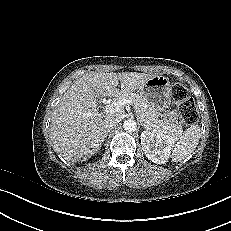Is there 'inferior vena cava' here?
I'll return each instance as SVG.
<instances>
[{
    "label": "inferior vena cava",
    "mask_w": 231,
    "mask_h": 231,
    "mask_svg": "<svg viewBox=\"0 0 231 231\" xmlns=\"http://www.w3.org/2000/svg\"><path fill=\"white\" fill-rule=\"evenodd\" d=\"M120 119L118 117H108L105 120L104 126L107 129V131L113 129L114 127L117 126V124L119 123Z\"/></svg>",
    "instance_id": "1"
}]
</instances>
